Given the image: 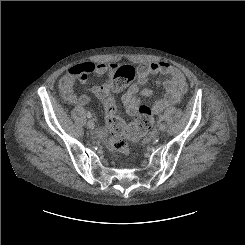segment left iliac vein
Returning <instances> with one entry per match:
<instances>
[{
  "label": "left iliac vein",
  "instance_id": "obj_1",
  "mask_svg": "<svg viewBox=\"0 0 245 245\" xmlns=\"http://www.w3.org/2000/svg\"><path fill=\"white\" fill-rule=\"evenodd\" d=\"M159 130L160 131H165L166 130V125L164 123L159 124Z\"/></svg>",
  "mask_w": 245,
  "mask_h": 245
}]
</instances>
